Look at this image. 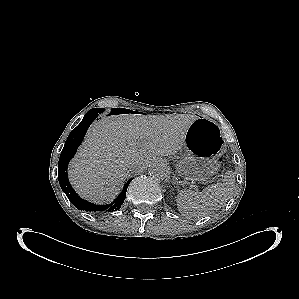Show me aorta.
<instances>
[{
    "instance_id": "762f6f07",
    "label": "aorta",
    "mask_w": 299,
    "mask_h": 299,
    "mask_svg": "<svg viewBox=\"0 0 299 299\" xmlns=\"http://www.w3.org/2000/svg\"><path fill=\"white\" fill-rule=\"evenodd\" d=\"M149 174L155 179L163 180L167 177L168 171L165 164L161 162H155L150 166Z\"/></svg>"
}]
</instances>
